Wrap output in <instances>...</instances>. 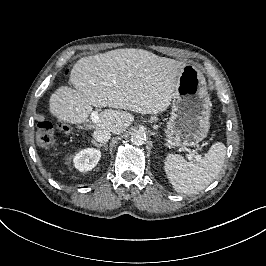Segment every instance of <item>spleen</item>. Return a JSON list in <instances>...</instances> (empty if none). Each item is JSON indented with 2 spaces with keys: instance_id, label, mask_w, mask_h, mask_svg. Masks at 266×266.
Instances as JSON below:
<instances>
[{
  "instance_id": "spleen-1",
  "label": "spleen",
  "mask_w": 266,
  "mask_h": 266,
  "mask_svg": "<svg viewBox=\"0 0 266 266\" xmlns=\"http://www.w3.org/2000/svg\"><path fill=\"white\" fill-rule=\"evenodd\" d=\"M225 156V145L217 142L196 163L187 162L179 154H169L164 168L177 193L197 194L207 188L219 176L224 165Z\"/></svg>"
}]
</instances>
